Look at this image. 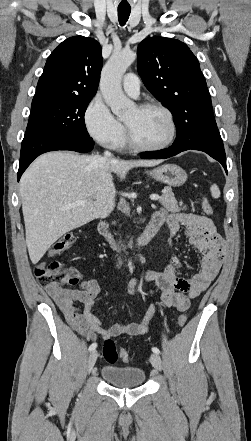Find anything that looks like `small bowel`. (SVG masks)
<instances>
[{"label":"small bowel","mask_w":251,"mask_h":441,"mask_svg":"<svg viewBox=\"0 0 251 441\" xmlns=\"http://www.w3.org/2000/svg\"><path fill=\"white\" fill-rule=\"evenodd\" d=\"M153 217L159 220L161 225H167L171 248L175 237L183 229L190 246L202 254L200 271L191 278L179 275L181 261L175 254H172L169 264L163 271L148 270L144 273L146 281L154 282L161 289V301L166 307L184 312L189 308L190 300L199 296L219 273L224 255V242L213 222L205 216L193 213H168L162 210L156 212ZM136 284L135 279L130 282L131 293L135 292ZM45 289L71 327L89 341H95L98 336L103 338L121 335L140 336L148 331L149 322L155 311L154 305H151L142 322L116 323L105 328L100 319L92 313L95 299L100 292L97 280H84L77 289L57 286H48Z\"/></svg>","instance_id":"obj_1"}]
</instances>
